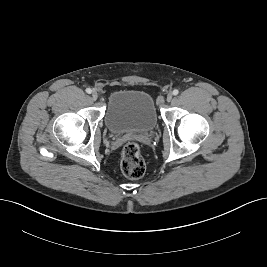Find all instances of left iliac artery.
Instances as JSON below:
<instances>
[{"label":"left iliac artery","mask_w":267,"mask_h":267,"mask_svg":"<svg viewBox=\"0 0 267 267\" xmlns=\"http://www.w3.org/2000/svg\"><path fill=\"white\" fill-rule=\"evenodd\" d=\"M172 93L173 95H178L179 91L177 89H174Z\"/></svg>","instance_id":"obj_1"}]
</instances>
